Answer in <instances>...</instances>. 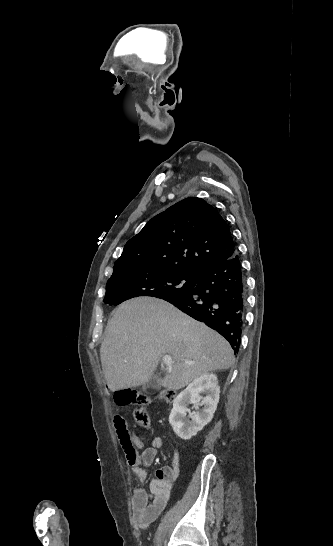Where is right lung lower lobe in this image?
I'll return each instance as SVG.
<instances>
[{
	"mask_svg": "<svg viewBox=\"0 0 333 546\" xmlns=\"http://www.w3.org/2000/svg\"><path fill=\"white\" fill-rule=\"evenodd\" d=\"M219 332L238 353L245 316V279L237 253L204 270L185 294L162 298Z\"/></svg>",
	"mask_w": 333,
	"mask_h": 546,
	"instance_id": "obj_1",
	"label": "right lung lower lobe"
}]
</instances>
